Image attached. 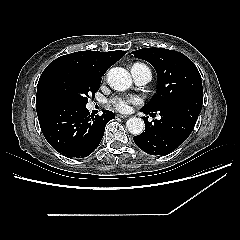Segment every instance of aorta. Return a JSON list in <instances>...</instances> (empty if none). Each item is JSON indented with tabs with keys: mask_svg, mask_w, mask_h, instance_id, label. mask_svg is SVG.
I'll use <instances>...</instances> for the list:
<instances>
[{
	"mask_svg": "<svg viewBox=\"0 0 240 240\" xmlns=\"http://www.w3.org/2000/svg\"><path fill=\"white\" fill-rule=\"evenodd\" d=\"M109 86L117 91H124L132 85L130 73L122 67H114L107 73ZM128 131L133 135H140L145 128L144 121L139 117H131L126 122Z\"/></svg>",
	"mask_w": 240,
	"mask_h": 240,
	"instance_id": "762f6f07",
	"label": "aorta"
}]
</instances>
